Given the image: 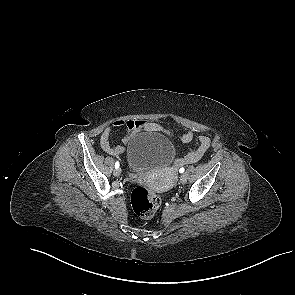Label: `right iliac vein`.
Wrapping results in <instances>:
<instances>
[{
  "instance_id": "obj_1",
  "label": "right iliac vein",
  "mask_w": 295,
  "mask_h": 295,
  "mask_svg": "<svg viewBox=\"0 0 295 295\" xmlns=\"http://www.w3.org/2000/svg\"><path fill=\"white\" fill-rule=\"evenodd\" d=\"M113 173H114L115 176H120L121 169L120 168H115Z\"/></svg>"
}]
</instances>
